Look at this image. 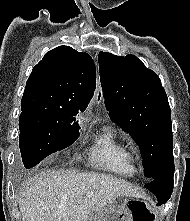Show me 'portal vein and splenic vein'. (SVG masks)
<instances>
[{
    "mask_svg": "<svg viewBox=\"0 0 190 221\" xmlns=\"http://www.w3.org/2000/svg\"><path fill=\"white\" fill-rule=\"evenodd\" d=\"M86 196H87L88 198L92 197V196H93V192H88Z\"/></svg>",
    "mask_w": 190,
    "mask_h": 221,
    "instance_id": "portal-vein-and-splenic-vein-1",
    "label": "portal vein and splenic vein"
}]
</instances>
